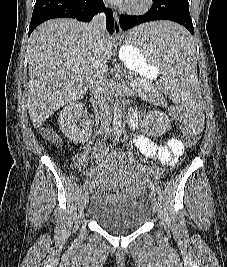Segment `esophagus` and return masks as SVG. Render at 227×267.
Returning <instances> with one entry per match:
<instances>
[{
  "label": "esophagus",
  "instance_id": "obj_1",
  "mask_svg": "<svg viewBox=\"0 0 227 267\" xmlns=\"http://www.w3.org/2000/svg\"><path fill=\"white\" fill-rule=\"evenodd\" d=\"M114 35L119 37L122 35L120 23H119V14L117 11H114Z\"/></svg>",
  "mask_w": 227,
  "mask_h": 267
}]
</instances>
